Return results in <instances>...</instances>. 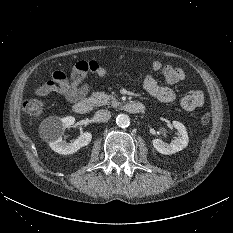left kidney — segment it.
I'll use <instances>...</instances> for the list:
<instances>
[{"label": "left kidney", "instance_id": "left-kidney-1", "mask_svg": "<svg viewBox=\"0 0 233 233\" xmlns=\"http://www.w3.org/2000/svg\"><path fill=\"white\" fill-rule=\"evenodd\" d=\"M172 124L178 131L179 136L177 138L173 139L170 143H166L161 139H154L152 141L154 148L161 154H174L188 146L189 138L185 126L179 121H173Z\"/></svg>", "mask_w": 233, "mask_h": 233}]
</instances>
